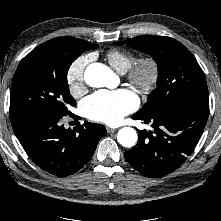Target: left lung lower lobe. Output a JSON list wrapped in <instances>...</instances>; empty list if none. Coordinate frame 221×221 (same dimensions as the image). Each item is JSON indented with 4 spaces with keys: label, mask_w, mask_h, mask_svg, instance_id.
<instances>
[{
    "label": "left lung lower lobe",
    "mask_w": 221,
    "mask_h": 221,
    "mask_svg": "<svg viewBox=\"0 0 221 221\" xmlns=\"http://www.w3.org/2000/svg\"><path fill=\"white\" fill-rule=\"evenodd\" d=\"M209 116V107L186 102L162 112L132 116L153 131L138 130V145L124 156L130 165L146 177L158 178L175 171L196 147Z\"/></svg>",
    "instance_id": "1"
}]
</instances>
